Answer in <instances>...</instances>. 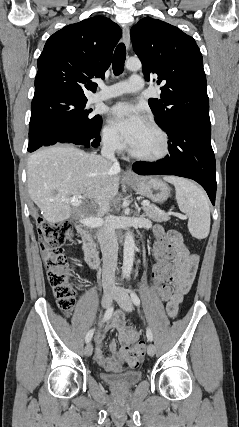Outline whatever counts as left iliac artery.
Wrapping results in <instances>:
<instances>
[{
  "instance_id": "1",
  "label": "left iliac artery",
  "mask_w": 239,
  "mask_h": 427,
  "mask_svg": "<svg viewBox=\"0 0 239 427\" xmlns=\"http://www.w3.org/2000/svg\"><path fill=\"white\" fill-rule=\"evenodd\" d=\"M129 293H130V296H131V299H132V302L136 305V306H139L140 305V299H139V297L137 296V294L130 288L129 290ZM146 335H147V339H148V341H152L153 340V334H152V331L150 330V328H147V331H146Z\"/></svg>"
}]
</instances>
